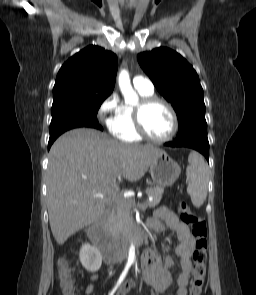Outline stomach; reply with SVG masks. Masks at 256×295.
I'll return each mask as SVG.
<instances>
[{
  "instance_id": "0dacf381",
  "label": "stomach",
  "mask_w": 256,
  "mask_h": 295,
  "mask_svg": "<svg viewBox=\"0 0 256 295\" xmlns=\"http://www.w3.org/2000/svg\"><path fill=\"white\" fill-rule=\"evenodd\" d=\"M153 181L159 186H171L178 179L181 168L166 152L158 154L149 166Z\"/></svg>"
}]
</instances>
